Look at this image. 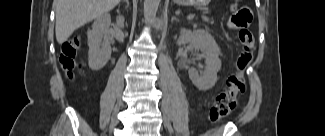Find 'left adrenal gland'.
<instances>
[{"instance_id":"1","label":"left adrenal gland","mask_w":325,"mask_h":136,"mask_svg":"<svg viewBox=\"0 0 325 136\" xmlns=\"http://www.w3.org/2000/svg\"><path fill=\"white\" fill-rule=\"evenodd\" d=\"M177 15H178V13H177ZM173 20L178 21V19H177L176 17H173V18H172V21H173Z\"/></svg>"}]
</instances>
